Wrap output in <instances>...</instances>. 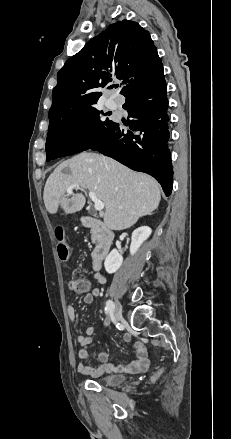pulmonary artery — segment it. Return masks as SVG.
<instances>
[{"label":"pulmonary artery","mask_w":231,"mask_h":439,"mask_svg":"<svg viewBox=\"0 0 231 439\" xmlns=\"http://www.w3.org/2000/svg\"><path fill=\"white\" fill-rule=\"evenodd\" d=\"M106 106H107L108 108H110V109H114V108L116 107V104H115V102H114L113 100H108V101L106 102Z\"/></svg>","instance_id":"pulmonary-artery-1"}]
</instances>
